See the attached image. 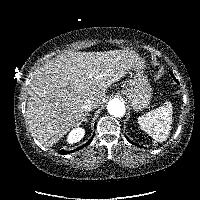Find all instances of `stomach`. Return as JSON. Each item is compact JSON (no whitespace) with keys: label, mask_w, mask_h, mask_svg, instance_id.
<instances>
[{"label":"stomach","mask_w":200,"mask_h":200,"mask_svg":"<svg viewBox=\"0 0 200 200\" xmlns=\"http://www.w3.org/2000/svg\"><path fill=\"white\" fill-rule=\"evenodd\" d=\"M143 69V61H141L139 65H135L132 68L134 73L131 74V78L122 89L123 95H125L126 99L135 111L145 109L152 98V89L147 76L143 73Z\"/></svg>","instance_id":"1"}]
</instances>
